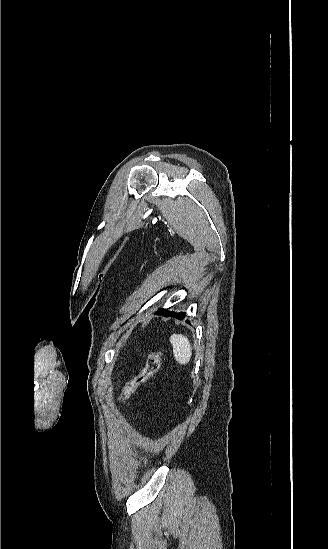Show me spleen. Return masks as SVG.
<instances>
[{"mask_svg": "<svg viewBox=\"0 0 328 549\" xmlns=\"http://www.w3.org/2000/svg\"><path fill=\"white\" fill-rule=\"evenodd\" d=\"M173 355L180 365H187L192 357V345L184 335H171Z\"/></svg>", "mask_w": 328, "mask_h": 549, "instance_id": "spleen-1", "label": "spleen"}]
</instances>
